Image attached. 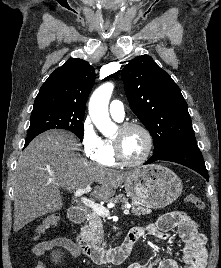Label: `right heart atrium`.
Returning a JSON list of instances; mask_svg holds the SVG:
<instances>
[{
	"mask_svg": "<svg viewBox=\"0 0 221 268\" xmlns=\"http://www.w3.org/2000/svg\"><path fill=\"white\" fill-rule=\"evenodd\" d=\"M81 145L88 159L100 161L104 153V140L99 136L90 117H86L82 122Z\"/></svg>",
	"mask_w": 221,
	"mask_h": 268,
	"instance_id": "obj_1",
	"label": "right heart atrium"
}]
</instances>
